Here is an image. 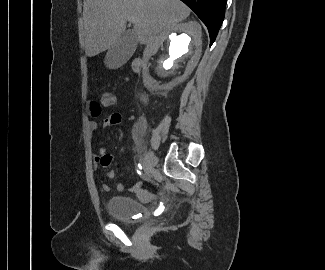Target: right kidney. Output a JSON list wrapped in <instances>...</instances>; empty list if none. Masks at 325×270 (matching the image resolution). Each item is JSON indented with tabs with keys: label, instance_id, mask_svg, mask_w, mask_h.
I'll use <instances>...</instances> for the list:
<instances>
[{
	"label": "right kidney",
	"instance_id": "1",
	"mask_svg": "<svg viewBox=\"0 0 325 270\" xmlns=\"http://www.w3.org/2000/svg\"><path fill=\"white\" fill-rule=\"evenodd\" d=\"M159 48L157 59L149 65L148 59L157 54ZM201 51V26L197 22L181 23L164 30L158 36L156 50L144 56V85L150 91L159 93L172 90L182 84L194 70Z\"/></svg>",
	"mask_w": 325,
	"mask_h": 270
}]
</instances>
